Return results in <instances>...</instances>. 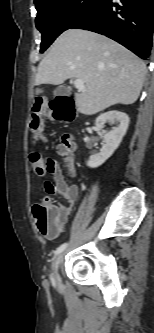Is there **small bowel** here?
Wrapping results in <instances>:
<instances>
[{"label": "small bowel", "instance_id": "obj_1", "mask_svg": "<svg viewBox=\"0 0 154 333\" xmlns=\"http://www.w3.org/2000/svg\"><path fill=\"white\" fill-rule=\"evenodd\" d=\"M77 145L68 134L62 137L61 142L56 147V152L63 159L62 167L53 158H46L47 172L52 176L53 182L46 181L43 184L45 191L52 195H57L68 202L64 208L66 215L71 212L72 205L76 202L79 194L78 186L74 183L77 178L75 166V153ZM64 173L70 182L65 179Z\"/></svg>", "mask_w": 154, "mask_h": 333}]
</instances>
